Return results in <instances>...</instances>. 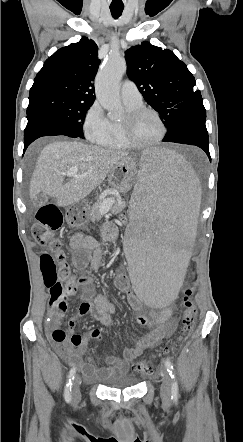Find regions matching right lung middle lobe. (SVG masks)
Wrapping results in <instances>:
<instances>
[{"label": "right lung middle lobe", "instance_id": "obj_1", "mask_svg": "<svg viewBox=\"0 0 243 442\" xmlns=\"http://www.w3.org/2000/svg\"><path fill=\"white\" fill-rule=\"evenodd\" d=\"M92 103L71 96L50 93L29 97L27 118L35 115L52 117L68 126L78 137L83 138V123Z\"/></svg>", "mask_w": 243, "mask_h": 442}]
</instances>
